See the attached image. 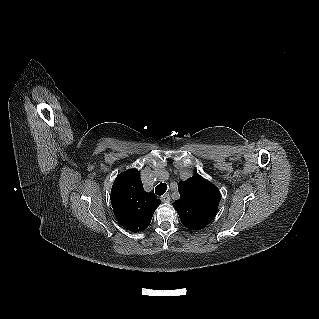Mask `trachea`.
<instances>
[{"mask_svg": "<svg viewBox=\"0 0 319 319\" xmlns=\"http://www.w3.org/2000/svg\"><path fill=\"white\" fill-rule=\"evenodd\" d=\"M167 190V184L166 183H160L155 187V193L158 196L163 195Z\"/></svg>", "mask_w": 319, "mask_h": 319, "instance_id": "3493384b", "label": "trachea"}]
</instances>
